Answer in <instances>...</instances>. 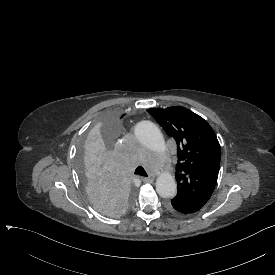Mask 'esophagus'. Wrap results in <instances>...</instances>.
I'll use <instances>...</instances> for the list:
<instances>
[{"instance_id":"34e87169","label":"esophagus","mask_w":275,"mask_h":275,"mask_svg":"<svg viewBox=\"0 0 275 275\" xmlns=\"http://www.w3.org/2000/svg\"><path fill=\"white\" fill-rule=\"evenodd\" d=\"M142 180H143V182H146V183L152 182L151 178H142Z\"/></svg>"}]
</instances>
